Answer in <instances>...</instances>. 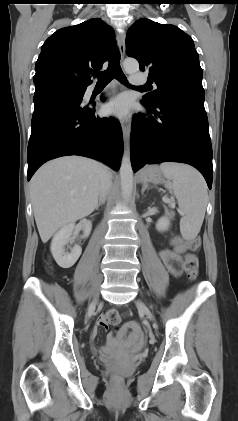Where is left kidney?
I'll return each instance as SVG.
<instances>
[{"mask_svg":"<svg viewBox=\"0 0 238 421\" xmlns=\"http://www.w3.org/2000/svg\"><path fill=\"white\" fill-rule=\"evenodd\" d=\"M169 226H170V218H169V213L166 210V215L165 216H162L158 220V222L156 224V229L158 231H166V230H168Z\"/></svg>","mask_w":238,"mask_h":421,"instance_id":"5707ae66","label":"left kidney"}]
</instances>
